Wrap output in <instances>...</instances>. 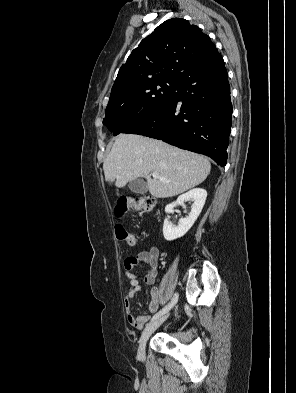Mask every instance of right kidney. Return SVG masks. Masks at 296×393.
Instances as JSON below:
<instances>
[{
    "mask_svg": "<svg viewBox=\"0 0 296 393\" xmlns=\"http://www.w3.org/2000/svg\"><path fill=\"white\" fill-rule=\"evenodd\" d=\"M207 197V192L201 188H195L188 191L185 194L180 195L175 202L168 204L165 207V212L167 214L173 211V208L177 205H184L185 201L193 200L194 203L191 206V211L189 216L186 218H181L177 226L172 225L168 218H165L163 224V235L167 241H172L177 238L184 236L189 229L193 226L198 216L200 215L203 206L205 204Z\"/></svg>",
    "mask_w": 296,
    "mask_h": 393,
    "instance_id": "right-kidney-1",
    "label": "right kidney"
}]
</instances>
